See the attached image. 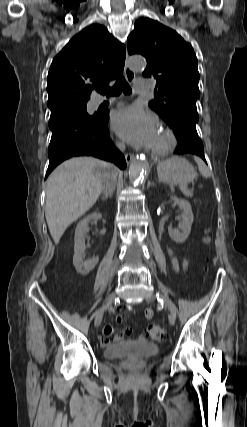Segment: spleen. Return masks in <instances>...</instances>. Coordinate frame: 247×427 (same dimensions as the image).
I'll return each mask as SVG.
<instances>
[{
	"label": "spleen",
	"mask_w": 247,
	"mask_h": 427,
	"mask_svg": "<svg viewBox=\"0 0 247 427\" xmlns=\"http://www.w3.org/2000/svg\"><path fill=\"white\" fill-rule=\"evenodd\" d=\"M194 160L196 161L198 165L199 172L205 177L208 178L211 176V172L208 169V167L204 164V162L199 159L198 157H194ZM159 166V165H158Z\"/></svg>",
	"instance_id": "3e777b00"
}]
</instances>
